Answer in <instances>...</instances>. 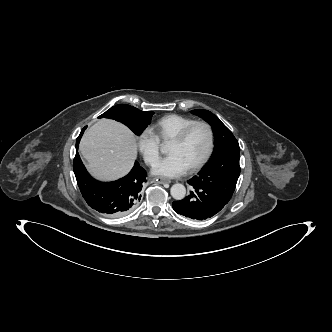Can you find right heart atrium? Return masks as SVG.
<instances>
[{"label":"right heart atrium","instance_id":"d8ad5b80","mask_svg":"<svg viewBox=\"0 0 332 332\" xmlns=\"http://www.w3.org/2000/svg\"><path fill=\"white\" fill-rule=\"evenodd\" d=\"M138 149L148 165H154L159 157V139L154 132L146 128L138 136Z\"/></svg>","mask_w":332,"mask_h":332}]
</instances>
